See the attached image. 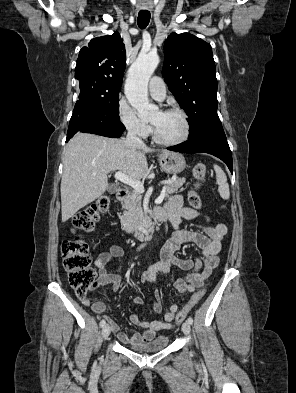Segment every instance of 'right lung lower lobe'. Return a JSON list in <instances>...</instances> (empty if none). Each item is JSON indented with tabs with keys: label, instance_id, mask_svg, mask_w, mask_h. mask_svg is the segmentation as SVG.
<instances>
[{
	"label": "right lung lower lobe",
	"instance_id": "98d812e1",
	"mask_svg": "<svg viewBox=\"0 0 296 393\" xmlns=\"http://www.w3.org/2000/svg\"><path fill=\"white\" fill-rule=\"evenodd\" d=\"M125 127L119 120L81 102H76L70 119L66 142L77 132L92 133L105 137L118 138Z\"/></svg>",
	"mask_w": 296,
	"mask_h": 393
}]
</instances>
